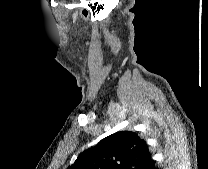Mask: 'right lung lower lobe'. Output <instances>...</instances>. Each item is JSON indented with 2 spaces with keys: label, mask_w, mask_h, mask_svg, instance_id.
Segmentation results:
<instances>
[{
  "label": "right lung lower lobe",
  "mask_w": 208,
  "mask_h": 169,
  "mask_svg": "<svg viewBox=\"0 0 208 169\" xmlns=\"http://www.w3.org/2000/svg\"><path fill=\"white\" fill-rule=\"evenodd\" d=\"M146 169H155L154 162L152 161V162L146 167Z\"/></svg>",
  "instance_id": "98d812e1"
}]
</instances>
